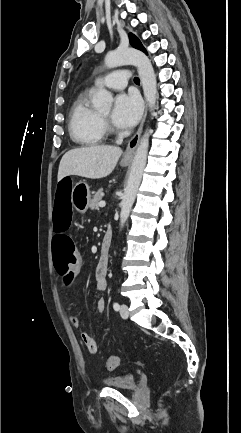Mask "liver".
<instances>
[{
    "label": "liver",
    "mask_w": 241,
    "mask_h": 433,
    "mask_svg": "<svg viewBox=\"0 0 241 433\" xmlns=\"http://www.w3.org/2000/svg\"><path fill=\"white\" fill-rule=\"evenodd\" d=\"M122 149L114 146H90L66 152L59 164L58 181L68 175L100 179L114 170Z\"/></svg>",
    "instance_id": "liver-1"
}]
</instances>
